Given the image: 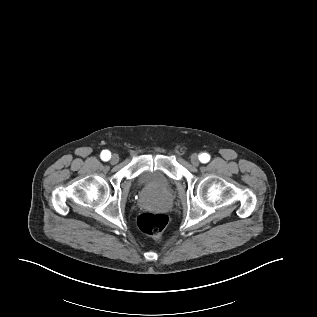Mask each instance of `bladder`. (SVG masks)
I'll return each instance as SVG.
<instances>
[{
  "mask_svg": "<svg viewBox=\"0 0 317 317\" xmlns=\"http://www.w3.org/2000/svg\"><path fill=\"white\" fill-rule=\"evenodd\" d=\"M138 184L141 187H146L158 192L168 190L172 185L169 178L154 171H145L140 174L138 177Z\"/></svg>",
  "mask_w": 317,
  "mask_h": 317,
  "instance_id": "31cf9c89",
  "label": "bladder"
}]
</instances>
